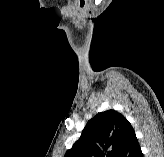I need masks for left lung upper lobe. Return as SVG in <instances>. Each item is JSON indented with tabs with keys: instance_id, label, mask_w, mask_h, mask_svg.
Returning a JSON list of instances; mask_svg holds the SVG:
<instances>
[{
	"instance_id": "1",
	"label": "left lung upper lobe",
	"mask_w": 164,
	"mask_h": 157,
	"mask_svg": "<svg viewBox=\"0 0 164 157\" xmlns=\"http://www.w3.org/2000/svg\"><path fill=\"white\" fill-rule=\"evenodd\" d=\"M135 131L126 118L107 110L90 119L64 157H118Z\"/></svg>"
}]
</instances>
